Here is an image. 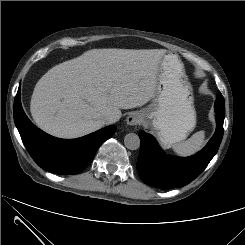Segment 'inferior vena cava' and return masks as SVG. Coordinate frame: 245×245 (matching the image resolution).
Listing matches in <instances>:
<instances>
[{"label": "inferior vena cava", "mask_w": 245, "mask_h": 245, "mask_svg": "<svg viewBox=\"0 0 245 245\" xmlns=\"http://www.w3.org/2000/svg\"><path fill=\"white\" fill-rule=\"evenodd\" d=\"M120 119V115L119 114H115V113H108L104 116V121L106 124H112L117 122Z\"/></svg>", "instance_id": "1"}]
</instances>
